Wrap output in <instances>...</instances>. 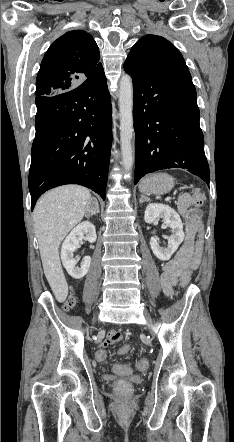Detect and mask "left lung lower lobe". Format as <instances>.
<instances>
[{
	"mask_svg": "<svg viewBox=\"0 0 234 442\" xmlns=\"http://www.w3.org/2000/svg\"><path fill=\"white\" fill-rule=\"evenodd\" d=\"M134 88L135 184L147 173L184 168L208 185L209 166L188 70H150L128 62Z\"/></svg>",
	"mask_w": 234,
	"mask_h": 442,
	"instance_id": "obj_1",
	"label": "left lung lower lobe"
}]
</instances>
